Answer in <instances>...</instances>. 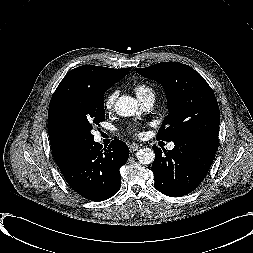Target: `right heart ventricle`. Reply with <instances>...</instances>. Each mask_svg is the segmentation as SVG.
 Here are the masks:
<instances>
[{
  "mask_svg": "<svg viewBox=\"0 0 253 253\" xmlns=\"http://www.w3.org/2000/svg\"><path fill=\"white\" fill-rule=\"evenodd\" d=\"M134 92L139 100L142 102L150 97L155 98V91L144 83H139L134 86Z\"/></svg>",
  "mask_w": 253,
  "mask_h": 253,
  "instance_id": "e07e8e85",
  "label": "right heart ventricle"
}]
</instances>
